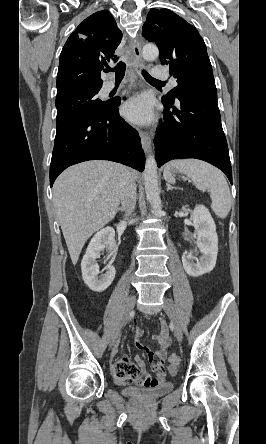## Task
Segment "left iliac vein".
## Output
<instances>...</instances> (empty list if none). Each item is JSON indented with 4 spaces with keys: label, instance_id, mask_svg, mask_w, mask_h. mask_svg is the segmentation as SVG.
<instances>
[{
    "label": "left iliac vein",
    "instance_id": "left-iliac-vein-1",
    "mask_svg": "<svg viewBox=\"0 0 266 444\" xmlns=\"http://www.w3.org/2000/svg\"><path fill=\"white\" fill-rule=\"evenodd\" d=\"M163 308L172 322L174 335L176 336L177 340L181 342L183 333L173 303L169 299L165 298Z\"/></svg>",
    "mask_w": 266,
    "mask_h": 444
}]
</instances>
